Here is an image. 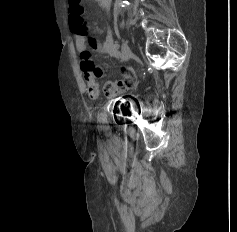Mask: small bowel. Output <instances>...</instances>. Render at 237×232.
<instances>
[{"instance_id":"small-bowel-1","label":"small bowel","mask_w":237,"mask_h":232,"mask_svg":"<svg viewBox=\"0 0 237 232\" xmlns=\"http://www.w3.org/2000/svg\"><path fill=\"white\" fill-rule=\"evenodd\" d=\"M75 34L76 49L79 53L80 68L86 82L87 92L90 98L97 99L99 96V85L97 79L102 75L100 68L95 66L91 57L92 52L118 56L117 49L111 39L107 40L103 45L94 39H89L87 32ZM134 71L131 68L121 69V78L117 81H111L104 86V93L109 98H114L128 91L134 83Z\"/></svg>"}]
</instances>
